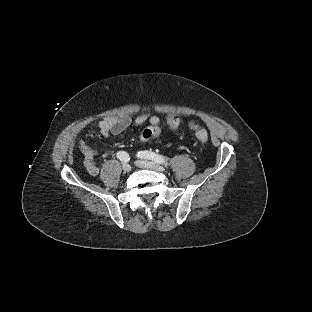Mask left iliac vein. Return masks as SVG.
<instances>
[{"label":"left iliac vein","instance_id":"1","mask_svg":"<svg viewBox=\"0 0 312 312\" xmlns=\"http://www.w3.org/2000/svg\"><path fill=\"white\" fill-rule=\"evenodd\" d=\"M136 165L140 168L152 169V170L159 171V172L166 171V169L163 166L156 164L154 162H151V161L140 160L136 162Z\"/></svg>","mask_w":312,"mask_h":312}]
</instances>
